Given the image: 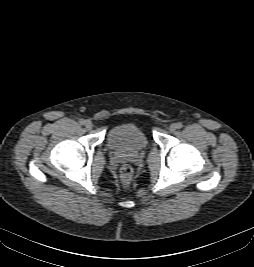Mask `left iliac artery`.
Returning a JSON list of instances; mask_svg holds the SVG:
<instances>
[{"instance_id":"1","label":"left iliac artery","mask_w":254,"mask_h":267,"mask_svg":"<svg viewBox=\"0 0 254 267\" xmlns=\"http://www.w3.org/2000/svg\"><path fill=\"white\" fill-rule=\"evenodd\" d=\"M183 127V124L181 122L177 123V128L180 129Z\"/></svg>"}]
</instances>
